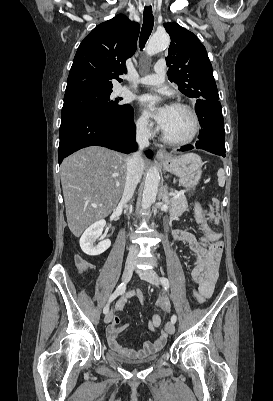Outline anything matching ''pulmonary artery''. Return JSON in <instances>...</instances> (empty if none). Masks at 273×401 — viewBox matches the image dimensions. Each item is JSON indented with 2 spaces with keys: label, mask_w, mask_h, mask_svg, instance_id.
Returning <instances> with one entry per match:
<instances>
[{
  "label": "pulmonary artery",
  "mask_w": 273,
  "mask_h": 401,
  "mask_svg": "<svg viewBox=\"0 0 273 401\" xmlns=\"http://www.w3.org/2000/svg\"><path fill=\"white\" fill-rule=\"evenodd\" d=\"M167 66L165 64V60L160 58L158 63L155 65V74L143 75L139 77V80L136 83H132V86H136L137 88H145L147 86L146 82L149 83H162L166 80V77L163 75L166 71ZM123 86H127V83H123Z\"/></svg>",
  "instance_id": "e3ab8cb5"
}]
</instances>
